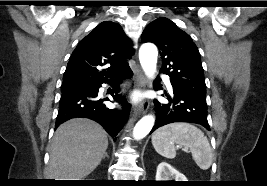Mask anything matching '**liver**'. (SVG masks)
<instances>
[{"label": "liver", "instance_id": "liver-1", "mask_svg": "<svg viewBox=\"0 0 267 186\" xmlns=\"http://www.w3.org/2000/svg\"><path fill=\"white\" fill-rule=\"evenodd\" d=\"M107 147L106 132L98 123L86 118L71 119L55 132L46 176L81 180L99 165Z\"/></svg>", "mask_w": 267, "mask_h": 186}]
</instances>
